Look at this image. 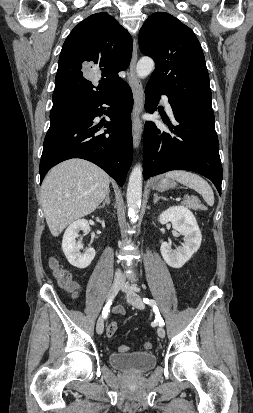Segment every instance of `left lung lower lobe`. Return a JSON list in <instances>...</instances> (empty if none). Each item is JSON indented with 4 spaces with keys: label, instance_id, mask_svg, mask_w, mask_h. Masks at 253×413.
Listing matches in <instances>:
<instances>
[{
    "label": "left lung lower lobe",
    "instance_id": "1",
    "mask_svg": "<svg viewBox=\"0 0 253 413\" xmlns=\"http://www.w3.org/2000/svg\"><path fill=\"white\" fill-rule=\"evenodd\" d=\"M145 94V110L153 113L156 102L164 93L156 84L148 82ZM171 107L178 125L165 123L172 134L161 132L151 121L145 123L144 178L171 170H190L209 178L221 194L223 175L214 119Z\"/></svg>",
    "mask_w": 253,
    "mask_h": 413
}]
</instances>
